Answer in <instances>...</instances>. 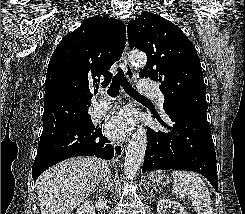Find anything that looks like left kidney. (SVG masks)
<instances>
[{
  "label": "left kidney",
  "instance_id": "obj_1",
  "mask_svg": "<svg viewBox=\"0 0 245 214\" xmlns=\"http://www.w3.org/2000/svg\"><path fill=\"white\" fill-rule=\"evenodd\" d=\"M171 207L175 210L172 214H187L180 203L165 198L158 201L157 212L158 214H166V209Z\"/></svg>",
  "mask_w": 245,
  "mask_h": 214
}]
</instances>
